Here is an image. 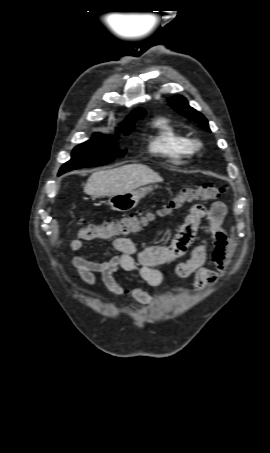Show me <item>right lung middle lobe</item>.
<instances>
[{"label": "right lung middle lobe", "instance_id": "right-lung-middle-lobe-1", "mask_svg": "<svg viewBox=\"0 0 270 453\" xmlns=\"http://www.w3.org/2000/svg\"><path fill=\"white\" fill-rule=\"evenodd\" d=\"M133 128L134 125L126 128V134ZM124 154L125 151L119 150L117 143L110 137L96 134L90 141L74 148L72 158L61 167L59 175L77 168L100 166L113 161L117 157L121 158Z\"/></svg>", "mask_w": 270, "mask_h": 453}]
</instances>
